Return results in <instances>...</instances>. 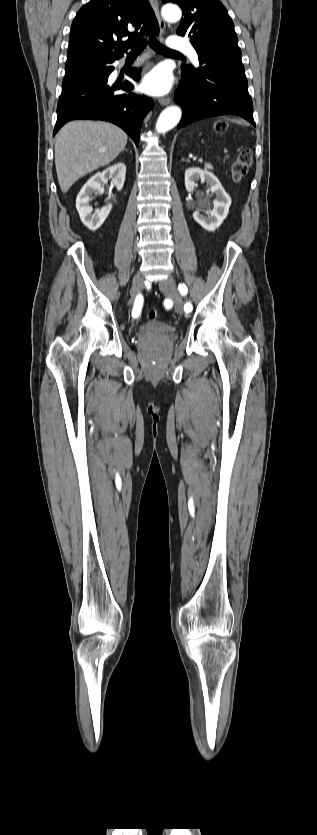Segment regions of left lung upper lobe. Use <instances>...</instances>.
<instances>
[{
	"label": "left lung upper lobe",
	"instance_id": "5c2ea615",
	"mask_svg": "<svg viewBox=\"0 0 317 835\" xmlns=\"http://www.w3.org/2000/svg\"><path fill=\"white\" fill-rule=\"evenodd\" d=\"M176 3L184 18L177 34L190 37L196 51L241 55L234 24L218 0H162Z\"/></svg>",
	"mask_w": 317,
	"mask_h": 835
}]
</instances>
